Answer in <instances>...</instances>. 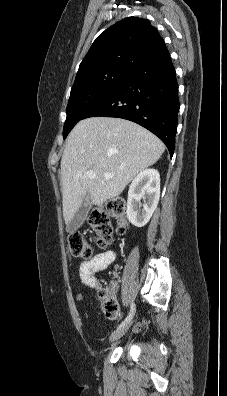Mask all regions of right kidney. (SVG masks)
<instances>
[{
    "mask_svg": "<svg viewBox=\"0 0 227 396\" xmlns=\"http://www.w3.org/2000/svg\"><path fill=\"white\" fill-rule=\"evenodd\" d=\"M159 197V172L155 169L141 171L129 187L126 211L128 220L136 227L146 225L157 208Z\"/></svg>",
    "mask_w": 227,
    "mask_h": 396,
    "instance_id": "1",
    "label": "right kidney"
}]
</instances>
